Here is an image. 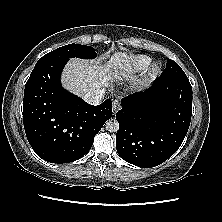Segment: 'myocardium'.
Masks as SVG:
<instances>
[{"mask_svg": "<svg viewBox=\"0 0 222 222\" xmlns=\"http://www.w3.org/2000/svg\"><path fill=\"white\" fill-rule=\"evenodd\" d=\"M160 71V66L158 63H153L150 67V74L156 75Z\"/></svg>", "mask_w": 222, "mask_h": 222, "instance_id": "obj_1", "label": "myocardium"}]
</instances>
